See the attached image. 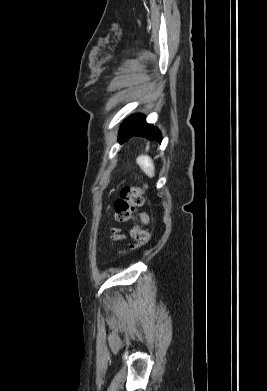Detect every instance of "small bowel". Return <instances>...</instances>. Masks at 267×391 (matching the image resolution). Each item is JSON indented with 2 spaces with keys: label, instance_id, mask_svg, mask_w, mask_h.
Returning <instances> with one entry per match:
<instances>
[{
  "label": "small bowel",
  "instance_id": "small-bowel-1",
  "mask_svg": "<svg viewBox=\"0 0 267 391\" xmlns=\"http://www.w3.org/2000/svg\"><path fill=\"white\" fill-rule=\"evenodd\" d=\"M113 238H114V239H122V238H124V235H122V234L120 233V230H119V229H114V230H113Z\"/></svg>",
  "mask_w": 267,
  "mask_h": 391
}]
</instances>
